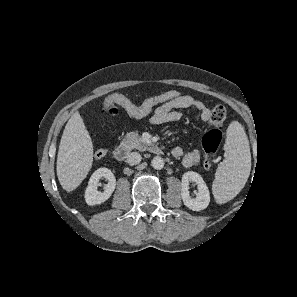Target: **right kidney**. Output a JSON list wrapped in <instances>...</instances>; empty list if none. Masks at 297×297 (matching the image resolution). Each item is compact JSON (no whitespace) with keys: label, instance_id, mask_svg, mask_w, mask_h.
<instances>
[{"label":"right kidney","instance_id":"right-kidney-1","mask_svg":"<svg viewBox=\"0 0 297 297\" xmlns=\"http://www.w3.org/2000/svg\"><path fill=\"white\" fill-rule=\"evenodd\" d=\"M105 178L108 184L105 186L104 191L97 190L99 180ZM116 179L114 174L108 168L97 169L89 179L88 186L85 191V201L88 205H97L106 201L113 191L115 190Z\"/></svg>","mask_w":297,"mask_h":297}]
</instances>
